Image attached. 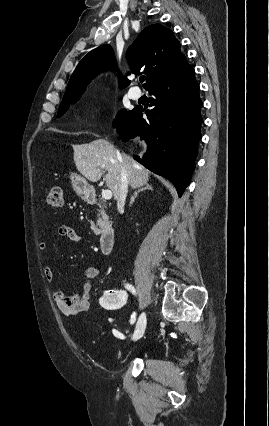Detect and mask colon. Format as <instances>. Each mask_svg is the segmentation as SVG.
Here are the masks:
<instances>
[{"label": "colon", "mask_w": 269, "mask_h": 426, "mask_svg": "<svg viewBox=\"0 0 269 426\" xmlns=\"http://www.w3.org/2000/svg\"><path fill=\"white\" fill-rule=\"evenodd\" d=\"M63 195L60 186L52 187L46 195V204L52 208L59 209L62 207Z\"/></svg>", "instance_id": "5ec220e1"}]
</instances>
